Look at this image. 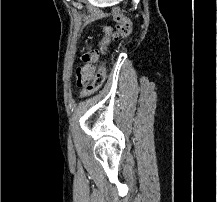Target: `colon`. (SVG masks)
<instances>
[{
    "mask_svg": "<svg viewBox=\"0 0 217 202\" xmlns=\"http://www.w3.org/2000/svg\"><path fill=\"white\" fill-rule=\"evenodd\" d=\"M131 32V23L129 19L123 15L117 14L115 16L113 27L106 26L102 32V35L96 40L94 45L87 46L82 54L81 60L83 64L76 70L77 84L83 87L81 97L90 96L96 93L104 82L105 66L100 64L99 55L106 53L108 47L113 41L127 37ZM97 70L95 80L90 83L88 87L86 84L89 79H92V73Z\"/></svg>",
    "mask_w": 217,
    "mask_h": 202,
    "instance_id": "5ec220e1",
    "label": "colon"
}]
</instances>
